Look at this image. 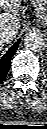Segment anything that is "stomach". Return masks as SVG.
Segmentation results:
<instances>
[{
	"label": "stomach",
	"instance_id": "0dacf381",
	"mask_svg": "<svg viewBox=\"0 0 47 129\" xmlns=\"http://www.w3.org/2000/svg\"><path fill=\"white\" fill-rule=\"evenodd\" d=\"M36 11L37 22L47 27V0H31Z\"/></svg>",
	"mask_w": 47,
	"mask_h": 129
}]
</instances>
